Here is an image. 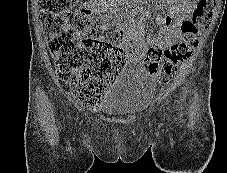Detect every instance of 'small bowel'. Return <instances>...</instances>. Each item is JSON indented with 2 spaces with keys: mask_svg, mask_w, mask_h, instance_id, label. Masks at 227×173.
I'll list each match as a JSON object with an SVG mask.
<instances>
[{
  "mask_svg": "<svg viewBox=\"0 0 227 173\" xmlns=\"http://www.w3.org/2000/svg\"><path fill=\"white\" fill-rule=\"evenodd\" d=\"M161 2L167 7V11L165 14L157 17V22L160 26L159 33L151 35L148 38V43L151 46L166 48L178 39L180 35V25L195 9L198 0H161ZM145 16L146 15H143V17L137 21H133L128 17H124L122 20L121 31L123 39L118 48L131 59H139L145 50L143 29ZM134 45L140 47V55H132L129 53L131 47Z\"/></svg>",
  "mask_w": 227,
  "mask_h": 173,
  "instance_id": "small-bowel-1",
  "label": "small bowel"
}]
</instances>
